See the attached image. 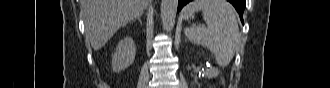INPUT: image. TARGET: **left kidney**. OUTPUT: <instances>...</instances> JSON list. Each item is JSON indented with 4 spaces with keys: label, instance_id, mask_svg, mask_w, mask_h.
I'll list each match as a JSON object with an SVG mask.
<instances>
[{
    "label": "left kidney",
    "instance_id": "5707ae66",
    "mask_svg": "<svg viewBox=\"0 0 330 88\" xmlns=\"http://www.w3.org/2000/svg\"><path fill=\"white\" fill-rule=\"evenodd\" d=\"M217 75V70L215 68H211L209 72H207V77L212 78Z\"/></svg>",
    "mask_w": 330,
    "mask_h": 88
}]
</instances>
